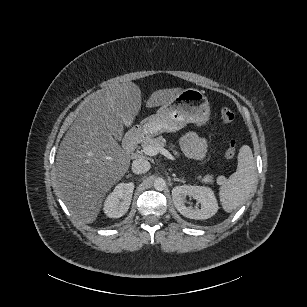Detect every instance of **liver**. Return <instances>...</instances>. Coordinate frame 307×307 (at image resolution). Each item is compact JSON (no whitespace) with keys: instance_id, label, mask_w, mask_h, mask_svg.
I'll return each mask as SVG.
<instances>
[{"instance_id":"1","label":"liver","mask_w":307,"mask_h":307,"mask_svg":"<svg viewBox=\"0 0 307 307\" xmlns=\"http://www.w3.org/2000/svg\"><path fill=\"white\" fill-rule=\"evenodd\" d=\"M180 88L155 91L149 107L169 103ZM141 106V89L133 82L95 91L86 98L60 144L55 176L62 200L84 222L97 217L104 193L120 180L129 157L113 138L131 124Z\"/></svg>"}]
</instances>
